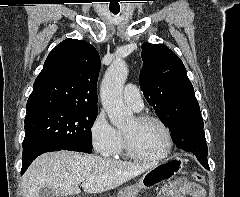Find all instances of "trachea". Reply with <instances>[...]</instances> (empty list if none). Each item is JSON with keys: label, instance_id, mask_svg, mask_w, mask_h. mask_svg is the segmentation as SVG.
<instances>
[{"label": "trachea", "instance_id": "obj_1", "mask_svg": "<svg viewBox=\"0 0 240 197\" xmlns=\"http://www.w3.org/2000/svg\"><path fill=\"white\" fill-rule=\"evenodd\" d=\"M114 14H117L118 12H113Z\"/></svg>", "mask_w": 240, "mask_h": 197}]
</instances>
